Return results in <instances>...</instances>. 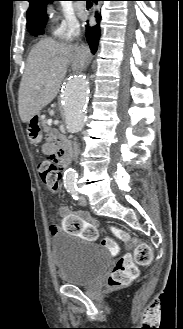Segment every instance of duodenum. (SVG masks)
Segmentation results:
<instances>
[{
  "label": "duodenum",
  "instance_id": "obj_1",
  "mask_svg": "<svg viewBox=\"0 0 183 329\" xmlns=\"http://www.w3.org/2000/svg\"><path fill=\"white\" fill-rule=\"evenodd\" d=\"M69 152H70L69 145L65 140L61 139V143L59 144L57 154L59 155L60 163L63 168H65L68 165Z\"/></svg>",
  "mask_w": 183,
  "mask_h": 329
}]
</instances>
